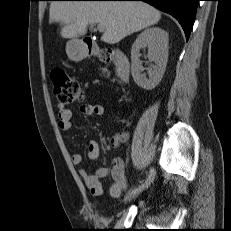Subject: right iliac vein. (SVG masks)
Here are the masks:
<instances>
[{
  "label": "right iliac vein",
  "instance_id": "right-iliac-vein-1",
  "mask_svg": "<svg viewBox=\"0 0 231 231\" xmlns=\"http://www.w3.org/2000/svg\"><path fill=\"white\" fill-rule=\"evenodd\" d=\"M155 175H156V171L154 170V168H151L146 181L141 185V187L138 189V191H136V192L132 193L130 196H128L127 200L130 201L135 196H137L140 192H142L143 190L148 188L151 185V183L154 181Z\"/></svg>",
  "mask_w": 231,
  "mask_h": 231
}]
</instances>
